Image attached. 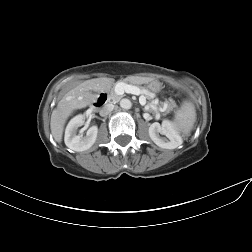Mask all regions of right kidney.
Listing matches in <instances>:
<instances>
[{
  "label": "right kidney",
  "instance_id": "1",
  "mask_svg": "<svg viewBox=\"0 0 252 252\" xmlns=\"http://www.w3.org/2000/svg\"><path fill=\"white\" fill-rule=\"evenodd\" d=\"M85 116L77 115L70 120L65 130L64 141L68 148L73 151H84L89 149L96 141L98 127L92 126L88 129L86 136L77 135V129L84 124Z\"/></svg>",
  "mask_w": 252,
  "mask_h": 252
}]
</instances>
